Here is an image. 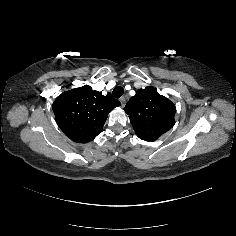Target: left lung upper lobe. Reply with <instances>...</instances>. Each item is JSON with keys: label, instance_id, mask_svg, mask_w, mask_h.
I'll list each match as a JSON object with an SVG mask.
<instances>
[{"label": "left lung upper lobe", "instance_id": "obj_1", "mask_svg": "<svg viewBox=\"0 0 236 236\" xmlns=\"http://www.w3.org/2000/svg\"><path fill=\"white\" fill-rule=\"evenodd\" d=\"M124 110L129 115L137 136L145 141H155L175 121V105L151 86L139 89Z\"/></svg>", "mask_w": 236, "mask_h": 236}]
</instances>
